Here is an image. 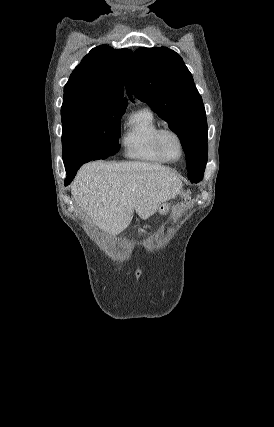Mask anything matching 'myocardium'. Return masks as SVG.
<instances>
[{"mask_svg": "<svg viewBox=\"0 0 274 427\" xmlns=\"http://www.w3.org/2000/svg\"><path fill=\"white\" fill-rule=\"evenodd\" d=\"M166 134H172L173 136H175L178 139V141L180 143V147H181V156H180L179 160H173L166 154V152L163 148V142H162L163 136ZM155 146H156L158 152L160 153V155L162 156V158L166 162L179 163L185 158L186 147H185L184 139L175 129H173L171 127H163L157 131L156 136H155Z\"/></svg>", "mask_w": 274, "mask_h": 427, "instance_id": "myocardium-1", "label": "myocardium"}]
</instances>
